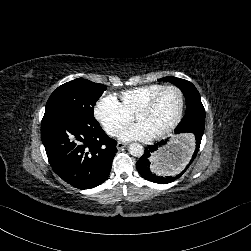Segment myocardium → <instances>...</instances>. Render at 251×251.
<instances>
[{
	"label": "myocardium",
	"instance_id": "obj_1",
	"mask_svg": "<svg viewBox=\"0 0 251 251\" xmlns=\"http://www.w3.org/2000/svg\"><path fill=\"white\" fill-rule=\"evenodd\" d=\"M168 91H176L179 93V95L181 97L180 111H179L177 119L171 125H169L168 127L162 129L159 133H157L159 137H164V136L171 134L172 132L177 130L178 127L181 125V123L184 119L185 109H186V96H185L184 91L177 86H173V85L165 86L160 91H158L155 95H153L149 100H147L145 103H143L136 110V111H139V110L152 109L155 106V104L158 102V100L161 98V96L164 95Z\"/></svg>",
	"mask_w": 251,
	"mask_h": 251
}]
</instances>
